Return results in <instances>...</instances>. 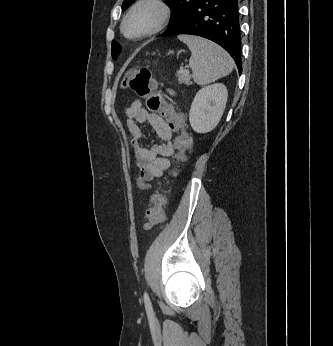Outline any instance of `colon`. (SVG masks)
<instances>
[{
    "label": "colon",
    "mask_w": 333,
    "mask_h": 346,
    "mask_svg": "<svg viewBox=\"0 0 333 346\" xmlns=\"http://www.w3.org/2000/svg\"><path fill=\"white\" fill-rule=\"evenodd\" d=\"M132 92L141 99L146 101L147 107L151 111H161L162 115L167 118L173 130L178 131L175 140V147L178 153L175 157L176 165L186 161V151L191 145V136L183 129V117L173 111L172 107L163 99L161 91L152 76L150 69L141 67L130 70L123 82ZM176 171H171L175 175ZM164 204L165 196L163 189L160 188L151 196V206L146 211L144 228L150 230L164 221Z\"/></svg>",
    "instance_id": "5ec220e1"
}]
</instances>
